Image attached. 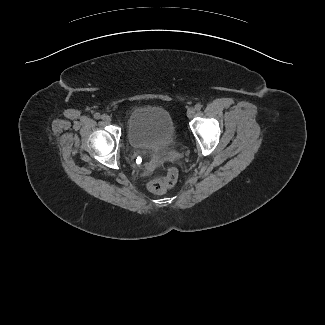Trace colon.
I'll return each instance as SVG.
<instances>
[{"instance_id": "colon-1", "label": "colon", "mask_w": 325, "mask_h": 325, "mask_svg": "<svg viewBox=\"0 0 325 325\" xmlns=\"http://www.w3.org/2000/svg\"><path fill=\"white\" fill-rule=\"evenodd\" d=\"M178 180V170L170 166L162 179H152L147 183V188L155 194H163L173 188Z\"/></svg>"}]
</instances>
